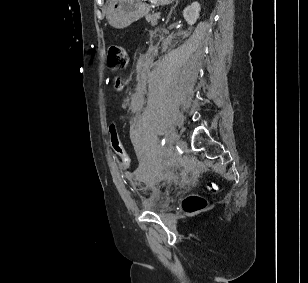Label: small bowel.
<instances>
[{
  "label": "small bowel",
  "mask_w": 308,
  "mask_h": 283,
  "mask_svg": "<svg viewBox=\"0 0 308 283\" xmlns=\"http://www.w3.org/2000/svg\"><path fill=\"white\" fill-rule=\"evenodd\" d=\"M121 86H117L118 89H120ZM145 103V96L142 91H136L132 94L130 99V109L132 112H140L144 106Z\"/></svg>",
  "instance_id": "small-bowel-1"
}]
</instances>
